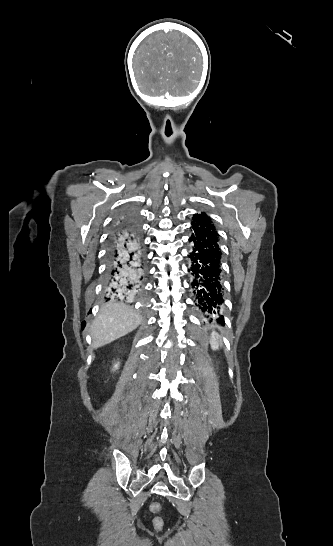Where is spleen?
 Listing matches in <instances>:
<instances>
[{
	"instance_id": "1",
	"label": "spleen",
	"mask_w": 333,
	"mask_h": 546,
	"mask_svg": "<svg viewBox=\"0 0 333 546\" xmlns=\"http://www.w3.org/2000/svg\"><path fill=\"white\" fill-rule=\"evenodd\" d=\"M210 345L212 350H218L219 346L221 345V339L218 333L212 332L211 338H210Z\"/></svg>"
}]
</instances>
